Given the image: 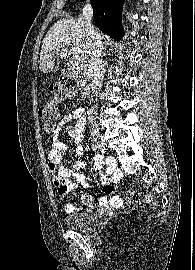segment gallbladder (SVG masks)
I'll list each match as a JSON object with an SVG mask.
<instances>
[{"label": "gallbladder", "instance_id": "bac80fb5", "mask_svg": "<svg viewBox=\"0 0 195 270\" xmlns=\"http://www.w3.org/2000/svg\"><path fill=\"white\" fill-rule=\"evenodd\" d=\"M61 73H62V75H65V74L69 73V70L68 69H62Z\"/></svg>", "mask_w": 195, "mask_h": 270}]
</instances>
